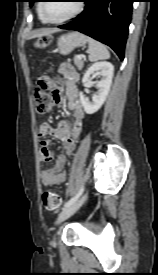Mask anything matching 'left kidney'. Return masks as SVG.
<instances>
[{"label":"left kidney","mask_w":158,"mask_h":275,"mask_svg":"<svg viewBox=\"0 0 158 275\" xmlns=\"http://www.w3.org/2000/svg\"><path fill=\"white\" fill-rule=\"evenodd\" d=\"M95 72H100L101 80L97 81L96 87L98 91L93 95L92 102H90L82 92L80 93V102L87 114L97 112L105 102L112 83L114 66L108 61L96 62L84 73L82 82H87Z\"/></svg>","instance_id":"left-kidney-1"}]
</instances>
